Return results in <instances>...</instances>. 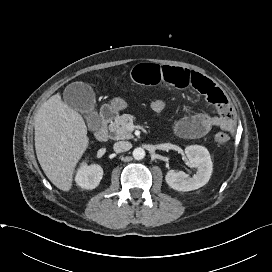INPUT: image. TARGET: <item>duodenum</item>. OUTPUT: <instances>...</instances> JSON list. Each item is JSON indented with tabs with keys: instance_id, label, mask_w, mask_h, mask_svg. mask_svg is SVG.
<instances>
[{
	"instance_id": "duodenum-1",
	"label": "duodenum",
	"mask_w": 272,
	"mask_h": 272,
	"mask_svg": "<svg viewBox=\"0 0 272 272\" xmlns=\"http://www.w3.org/2000/svg\"><path fill=\"white\" fill-rule=\"evenodd\" d=\"M115 112L112 108H104L98 119L97 128L94 136L99 141H106L109 137L108 124L113 120Z\"/></svg>"
}]
</instances>
